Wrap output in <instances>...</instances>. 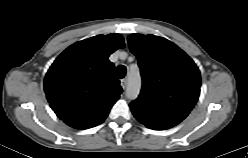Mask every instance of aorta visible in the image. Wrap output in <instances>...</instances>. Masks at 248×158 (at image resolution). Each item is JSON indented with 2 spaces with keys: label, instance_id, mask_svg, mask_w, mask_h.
I'll return each mask as SVG.
<instances>
[{
  "label": "aorta",
  "instance_id": "aorta-1",
  "mask_svg": "<svg viewBox=\"0 0 248 158\" xmlns=\"http://www.w3.org/2000/svg\"><path fill=\"white\" fill-rule=\"evenodd\" d=\"M141 89V77L137 70H131L128 73V84L126 89V96L128 99H136Z\"/></svg>",
  "mask_w": 248,
  "mask_h": 158
}]
</instances>
